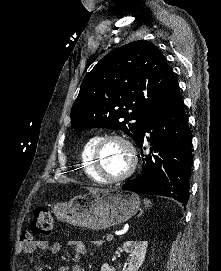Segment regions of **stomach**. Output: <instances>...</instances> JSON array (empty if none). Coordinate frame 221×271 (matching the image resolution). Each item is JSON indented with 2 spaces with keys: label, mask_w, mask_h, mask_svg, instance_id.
I'll return each mask as SVG.
<instances>
[{
  "label": "stomach",
  "mask_w": 221,
  "mask_h": 271,
  "mask_svg": "<svg viewBox=\"0 0 221 271\" xmlns=\"http://www.w3.org/2000/svg\"><path fill=\"white\" fill-rule=\"evenodd\" d=\"M55 213H64L72 225L89 229H106L130 219L140 207L137 193L122 187L106 191H92L82 197H74L71 202H58Z\"/></svg>",
  "instance_id": "stomach-1"
}]
</instances>
